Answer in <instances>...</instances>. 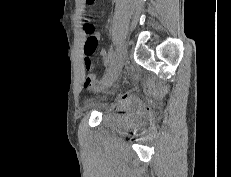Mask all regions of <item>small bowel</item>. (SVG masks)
I'll use <instances>...</instances> for the list:
<instances>
[{"mask_svg": "<svg viewBox=\"0 0 231 177\" xmlns=\"http://www.w3.org/2000/svg\"><path fill=\"white\" fill-rule=\"evenodd\" d=\"M102 55L105 57L106 62H107L108 57H106L105 53H102ZM84 66L88 72L92 69L91 57L85 56ZM97 84H98V81H97L96 77L92 73L89 72L85 78V87H87L89 89H95L97 87Z\"/></svg>", "mask_w": 231, "mask_h": 177, "instance_id": "c3829d8e", "label": "small bowel"}]
</instances>
